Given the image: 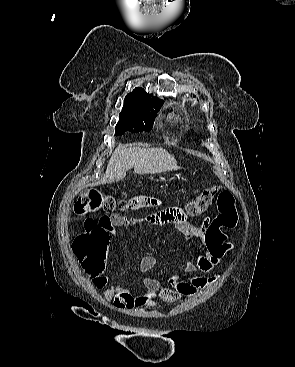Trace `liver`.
<instances>
[{"mask_svg":"<svg viewBox=\"0 0 295 367\" xmlns=\"http://www.w3.org/2000/svg\"><path fill=\"white\" fill-rule=\"evenodd\" d=\"M131 168L137 174L163 173L177 168V161L162 148H127L120 144L112 154L106 172L99 183L120 181Z\"/></svg>","mask_w":295,"mask_h":367,"instance_id":"6515ba94","label":"liver"}]
</instances>
